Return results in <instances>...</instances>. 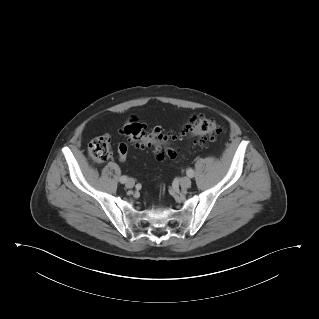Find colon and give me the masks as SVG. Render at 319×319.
Returning a JSON list of instances; mask_svg holds the SVG:
<instances>
[{
	"instance_id": "5ec220e1",
	"label": "colon",
	"mask_w": 319,
	"mask_h": 319,
	"mask_svg": "<svg viewBox=\"0 0 319 319\" xmlns=\"http://www.w3.org/2000/svg\"><path fill=\"white\" fill-rule=\"evenodd\" d=\"M224 131L223 127L215 120L204 115L193 116L185 125L180 137H193L198 141H211L216 139ZM122 133L139 149H152L157 160L175 159L178 151L171 143L173 136L160 127L150 128L135 120H129L122 128ZM127 145L118 146V154L121 160L127 156ZM89 156L97 161L104 162L110 155L109 140L105 136H98L91 140L88 145Z\"/></svg>"
}]
</instances>
